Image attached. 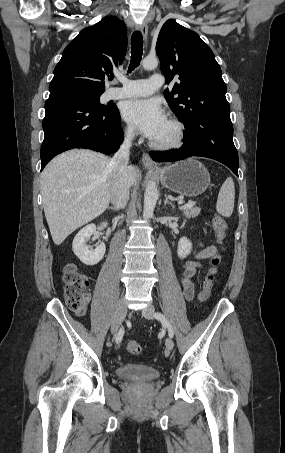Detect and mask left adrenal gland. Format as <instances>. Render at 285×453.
I'll return each instance as SVG.
<instances>
[{
	"mask_svg": "<svg viewBox=\"0 0 285 453\" xmlns=\"http://www.w3.org/2000/svg\"><path fill=\"white\" fill-rule=\"evenodd\" d=\"M167 204H169V205H170V206L172 207V209H174V205H173V203H172V202H170V201L168 200V197H167V195H165V201H164V205H167Z\"/></svg>",
	"mask_w": 285,
	"mask_h": 453,
	"instance_id": "a2214340",
	"label": "left adrenal gland"
}]
</instances>
